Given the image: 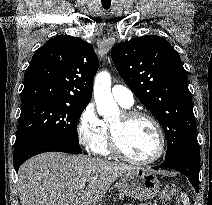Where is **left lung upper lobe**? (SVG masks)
<instances>
[{"instance_id": "5c2ea615", "label": "left lung upper lobe", "mask_w": 212, "mask_h": 205, "mask_svg": "<svg viewBox=\"0 0 212 205\" xmlns=\"http://www.w3.org/2000/svg\"><path fill=\"white\" fill-rule=\"evenodd\" d=\"M111 56L125 83L161 123L166 159L194 145L196 121L179 53L163 37L146 35L115 45Z\"/></svg>"}]
</instances>
